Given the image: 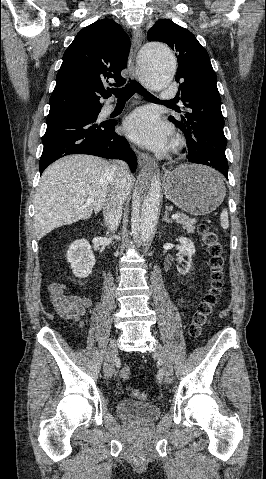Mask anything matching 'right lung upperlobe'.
Listing matches in <instances>:
<instances>
[{"label":"right lung upper lobe","instance_id":"right-lung-upper-lobe-1","mask_svg":"<svg viewBox=\"0 0 266 479\" xmlns=\"http://www.w3.org/2000/svg\"><path fill=\"white\" fill-rule=\"evenodd\" d=\"M130 39L111 19H101L83 28L63 55L51 94L50 111L102 107L101 96L109 97L104 85L125 83L121 71L127 65Z\"/></svg>","mask_w":266,"mask_h":479}]
</instances>
